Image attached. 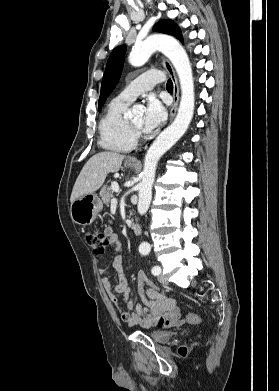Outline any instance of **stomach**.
Instances as JSON below:
<instances>
[{
    "mask_svg": "<svg viewBox=\"0 0 279 391\" xmlns=\"http://www.w3.org/2000/svg\"><path fill=\"white\" fill-rule=\"evenodd\" d=\"M128 168L135 167V164L125 163ZM103 203L96 194H87L79 197L70 207L72 221L79 225H90L102 210Z\"/></svg>",
    "mask_w": 279,
    "mask_h": 391,
    "instance_id": "1",
    "label": "stomach"
}]
</instances>
